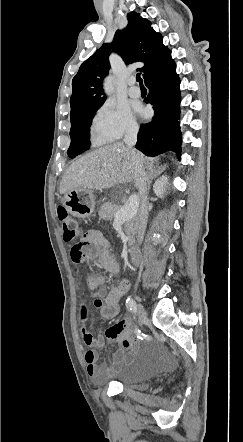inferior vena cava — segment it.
<instances>
[{
    "label": "inferior vena cava",
    "mask_w": 243,
    "mask_h": 442,
    "mask_svg": "<svg viewBox=\"0 0 243 442\" xmlns=\"http://www.w3.org/2000/svg\"><path fill=\"white\" fill-rule=\"evenodd\" d=\"M138 134V126H130L126 134L124 136V143L131 151L132 161L134 164V176H135V185L139 192V199H136L135 196H131L135 198L137 203V208L140 204V208L136 213V230H137V243L141 244L144 232L147 225L148 212H147V175L144 171L143 165L136 154V151L133 149V146L136 144ZM130 197V198H131ZM129 198V199H130Z\"/></svg>",
    "instance_id": "inferior-vena-cava-1"
}]
</instances>
